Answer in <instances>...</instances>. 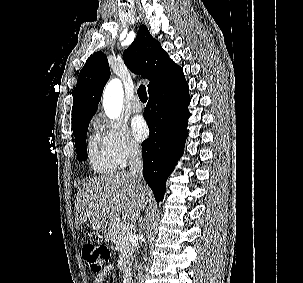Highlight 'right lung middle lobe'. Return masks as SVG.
<instances>
[{"instance_id":"obj_1","label":"right lung middle lobe","mask_w":303,"mask_h":283,"mask_svg":"<svg viewBox=\"0 0 303 283\" xmlns=\"http://www.w3.org/2000/svg\"><path fill=\"white\" fill-rule=\"evenodd\" d=\"M89 122L90 120L73 128L77 156L78 160L81 162L87 159L86 134Z\"/></svg>"}]
</instances>
